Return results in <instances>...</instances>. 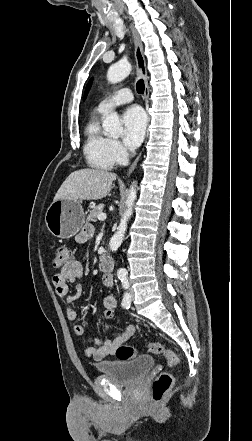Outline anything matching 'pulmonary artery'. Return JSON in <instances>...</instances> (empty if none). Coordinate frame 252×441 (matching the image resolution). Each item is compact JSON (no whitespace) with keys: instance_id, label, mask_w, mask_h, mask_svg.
Listing matches in <instances>:
<instances>
[{"instance_id":"1","label":"pulmonary artery","mask_w":252,"mask_h":441,"mask_svg":"<svg viewBox=\"0 0 252 441\" xmlns=\"http://www.w3.org/2000/svg\"><path fill=\"white\" fill-rule=\"evenodd\" d=\"M133 100V95L130 89L124 88L119 90L115 95L108 97L100 102L97 111L105 113L115 108L116 106L129 103Z\"/></svg>"}]
</instances>
